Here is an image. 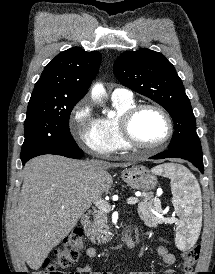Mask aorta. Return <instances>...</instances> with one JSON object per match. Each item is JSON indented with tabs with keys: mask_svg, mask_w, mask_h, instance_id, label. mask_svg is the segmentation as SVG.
<instances>
[{
	"mask_svg": "<svg viewBox=\"0 0 215 274\" xmlns=\"http://www.w3.org/2000/svg\"><path fill=\"white\" fill-rule=\"evenodd\" d=\"M104 91V88L101 84H96L93 88H92V95L93 96H99L102 92ZM114 115V112L110 111L108 112V117H112Z\"/></svg>",
	"mask_w": 215,
	"mask_h": 274,
	"instance_id": "obj_1",
	"label": "aorta"
}]
</instances>
